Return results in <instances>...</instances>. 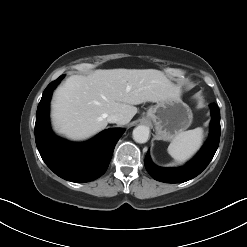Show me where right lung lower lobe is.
Instances as JSON below:
<instances>
[{
  "instance_id": "98d812e1",
  "label": "right lung lower lobe",
  "mask_w": 247,
  "mask_h": 247,
  "mask_svg": "<svg viewBox=\"0 0 247 247\" xmlns=\"http://www.w3.org/2000/svg\"><path fill=\"white\" fill-rule=\"evenodd\" d=\"M63 76L47 86L38 105L36 145L43 161L56 175L72 182H89L107 170L114 147L124 129L103 131L92 141L85 143H71L57 138L50 128L49 101L52 91Z\"/></svg>"
}]
</instances>
